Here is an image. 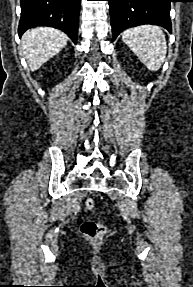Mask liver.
Returning <instances> with one entry per match:
<instances>
[{"label": "liver", "instance_id": "1", "mask_svg": "<svg viewBox=\"0 0 193 287\" xmlns=\"http://www.w3.org/2000/svg\"><path fill=\"white\" fill-rule=\"evenodd\" d=\"M68 36L60 30L40 27L28 30L22 37V48L32 71L38 70L67 44Z\"/></svg>", "mask_w": 193, "mask_h": 287}]
</instances>
